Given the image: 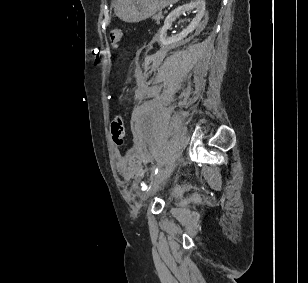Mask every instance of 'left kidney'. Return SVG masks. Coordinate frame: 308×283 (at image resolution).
<instances>
[{
    "label": "left kidney",
    "mask_w": 308,
    "mask_h": 283,
    "mask_svg": "<svg viewBox=\"0 0 308 283\" xmlns=\"http://www.w3.org/2000/svg\"><path fill=\"white\" fill-rule=\"evenodd\" d=\"M192 9H196V16L193 18L191 23L188 25L186 29H184L180 34H177L172 37L167 36V30L171 27L172 23L176 20V18L180 17V15L185 14ZM205 15V1L204 0H195L188 4L179 6L177 9L172 11L165 19L164 26L159 31V41L162 45L168 46L174 43H177L184 39L189 33L196 29L203 16Z\"/></svg>",
    "instance_id": "left-kidney-1"
}]
</instances>
